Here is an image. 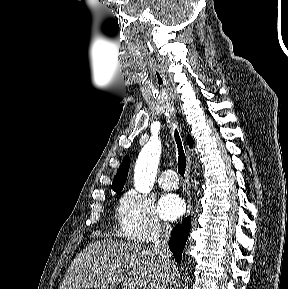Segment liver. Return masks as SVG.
I'll use <instances>...</instances> for the list:
<instances>
[{"instance_id":"obj_1","label":"liver","mask_w":288,"mask_h":289,"mask_svg":"<svg viewBox=\"0 0 288 289\" xmlns=\"http://www.w3.org/2000/svg\"><path fill=\"white\" fill-rule=\"evenodd\" d=\"M171 265L153 247L97 240L72 261L59 289H166Z\"/></svg>"}]
</instances>
